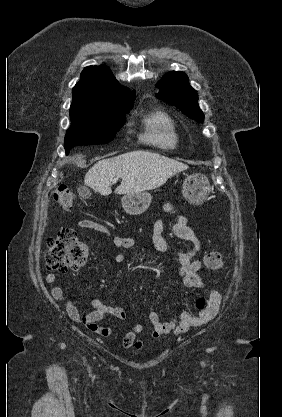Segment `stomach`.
<instances>
[{
  "label": "stomach",
  "instance_id": "stomach-1",
  "mask_svg": "<svg viewBox=\"0 0 282 417\" xmlns=\"http://www.w3.org/2000/svg\"><path fill=\"white\" fill-rule=\"evenodd\" d=\"M183 196L193 202V204H202L206 200L211 188L210 182L205 174H190L186 176L182 184ZM152 196L150 192H128L121 198L124 211L128 215H142L149 209Z\"/></svg>",
  "mask_w": 282,
  "mask_h": 417
}]
</instances>
